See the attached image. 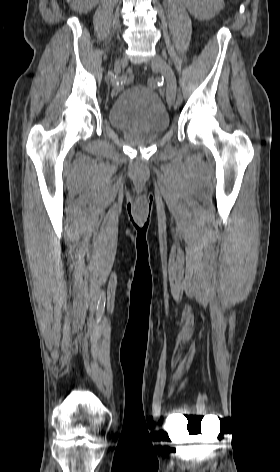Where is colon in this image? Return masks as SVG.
<instances>
[{
  "label": "colon",
  "mask_w": 280,
  "mask_h": 472,
  "mask_svg": "<svg viewBox=\"0 0 280 472\" xmlns=\"http://www.w3.org/2000/svg\"><path fill=\"white\" fill-rule=\"evenodd\" d=\"M147 84L151 88H157L159 86L158 80L153 77L147 80Z\"/></svg>",
  "instance_id": "obj_1"
}]
</instances>
